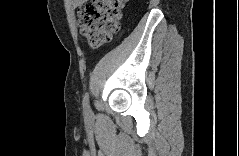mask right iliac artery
Listing matches in <instances>:
<instances>
[{"mask_svg":"<svg viewBox=\"0 0 239 156\" xmlns=\"http://www.w3.org/2000/svg\"><path fill=\"white\" fill-rule=\"evenodd\" d=\"M83 110H84L85 114H89L90 113L88 93H86V95L84 96V99H83Z\"/></svg>","mask_w":239,"mask_h":156,"instance_id":"obj_1","label":"right iliac artery"}]
</instances>
